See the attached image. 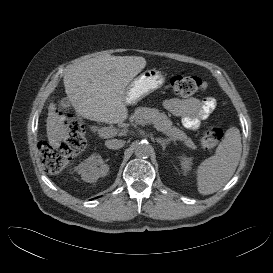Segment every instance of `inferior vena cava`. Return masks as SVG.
Segmentation results:
<instances>
[{"label": "inferior vena cava", "instance_id": "inferior-vena-cava-1", "mask_svg": "<svg viewBox=\"0 0 273 273\" xmlns=\"http://www.w3.org/2000/svg\"><path fill=\"white\" fill-rule=\"evenodd\" d=\"M124 141L118 139H111L105 141V146L109 149H120L124 146Z\"/></svg>", "mask_w": 273, "mask_h": 273}]
</instances>
